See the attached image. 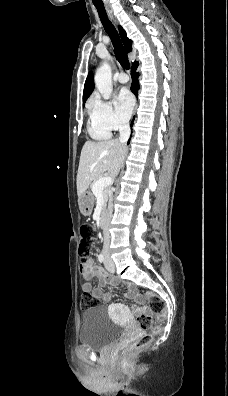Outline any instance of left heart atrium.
Masks as SVG:
<instances>
[{"mask_svg":"<svg viewBox=\"0 0 228 396\" xmlns=\"http://www.w3.org/2000/svg\"><path fill=\"white\" fill-rule=\"evenodd\" d=\"M134 103L133 95L127 89H122L115 99L118 115L122 119L127 120L133 110Z\"/></svg>","mask_w":228,"mask_h":396,"instance_id":"left-heart-atrium-1","label":"left heart atrium"}]
</instances>
